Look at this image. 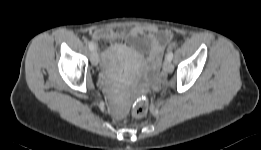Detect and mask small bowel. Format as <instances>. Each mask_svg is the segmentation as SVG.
Returning a JSON list of instances; mask_svg holds the SVG:
<instances>
[{
  "mask_svg": "<svg viewBox=\"0 0 261 150\" xmlns=\"http://www.w3.org/2000/svg\"><path fill=\"white\" fill-rule=\"evenodd\" d=\"M142 36L146 37L147 46L139 45L136 50H132L130 47L126 48L130 50L135 69L141 66L142 56L147 53L148 76L153 77L158 71L164 48L172 37L169 31H161L153 25H140L133 27L129 31L125 29L101 28L91 33L92 39L98 41V46L102 49L107 48L110 41L116 39L130 38L136 40Z\"/></svg>",
  "mask_w": 261,
  "mask_h": 150,
  "instance_id": "c3829d8e",
  "label": "small bowel"
}]
</instances>
